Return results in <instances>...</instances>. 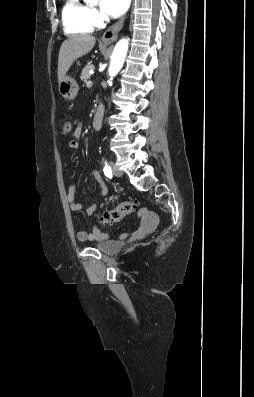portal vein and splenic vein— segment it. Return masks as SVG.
<instances>
[{"instance_id": "obj_1", "label": "portal vein and splenic vein", "mask_w": 254, "mask_h": 397, "mask_svg": "<svg viewBox=\"0 0 254 397\" xmlns=\"http://www.w3.org/2000/svg\"><path fill=\"white\" fill-rule=\"evenodd\" d=\"M86 85H87L88 87H90V86L92 85V81H88V82L86 83Z\"/></svg>"}]
</instances>
